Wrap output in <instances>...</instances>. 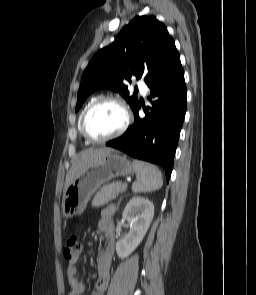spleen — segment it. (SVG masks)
<instances>
[{"label": "spleen", "instance_id": "spleen-1", "mask_svg": "<svg viewBox=\"0 0 256 295\" xmlns=\"http://www.w3.org/2000/svg\"><path fill=\"white\" fill-rule=\"evenodd\" d=\"M133 164L137 174V180L132 184L133 192H152L163 186L162 173L157 166L138 160Z\"/></svg>", "mask_w": 256, "mask_h": 295}]
</instances>
